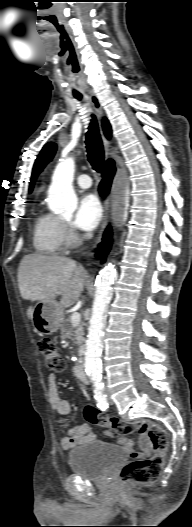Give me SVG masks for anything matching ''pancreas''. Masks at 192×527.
<instances>
[{"mask_svg": "<svg viewBox=\"0 0 192 527\" xmlns=\"http://www.w3.org/2000/svg\"><path fill=\"white\" fill-rule=\"evenodd\" d=\"M61 334L63 338L71 339L76 345H81L84 341L83 325L73 326L70 319L62 321Z\"/></svg>", "mask_w": 192, "mask_h": 527, "instance_id": "pancreas-1", "label": "pancreas"}]
</instances>
